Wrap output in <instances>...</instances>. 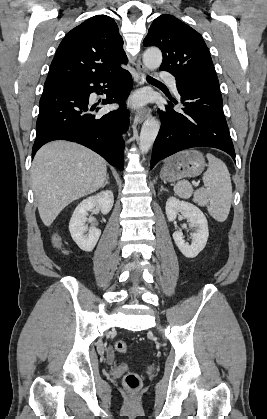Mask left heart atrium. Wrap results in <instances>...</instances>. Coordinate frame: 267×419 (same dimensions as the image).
<instances>
[{
    "label": "left heart atrium",
    "instance_id": "39dd6f15",
    "mask_svg": "<svg viewBox=\"0 0 267 419\" xmlns=\"http://www.w3.org/2000/svg\"><path fill=\"white\" fill-rule=\"evenodd\" d=\"M142 101H143V98H142L141 96H137V97L134 99V103H135V104H140Z\"/></svg>",
    "mask_w": 267,
    "mask_h": 419
}]
</instances>
